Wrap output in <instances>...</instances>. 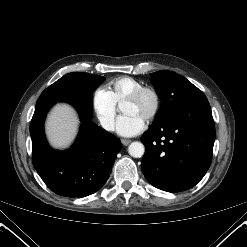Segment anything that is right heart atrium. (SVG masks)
Returning <instances> with one entry per match:
<instances>
[{"label":"right heart atrium","instance_id":"obj_1","mask_svg":"<svg viewBox=\"0 0 247 247\" xmlns=\"http://www.w3.org/2000/svg\"><path fill=\"white\" fill-rule=\"evenodd\" d=\"M93 108L101 127L111 132L115 128L117 103L110 92L105 88H99L93 96Z\"/></svg>","mask_w":247,"mask_h":247}]
</instances>
